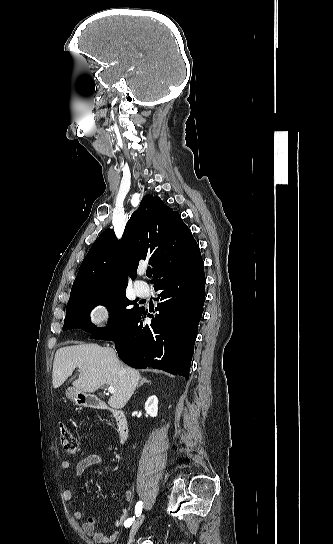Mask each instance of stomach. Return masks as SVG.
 Returning <instances> with one entry per match:
<instances>
[{
  "instance_id": "stomach-1",
  "label": "stomach",
  "mask_w": 333,
  "mask_h": 544,
  "mask_svg": "<svg viewBox=\"0 0 333 544\" xmlns=\"http://www.w3.org/2000/svg\"><path fill=\"white\" fill-rule=\"evenodd\" d=\"M81 395V393L79 391H77L76 389L74 388H68V390L66 391V397L71 400L72 402H74L75 404H82L81 402H79L81 399L79 398Z\"/></svg>"
}]
</instances>
